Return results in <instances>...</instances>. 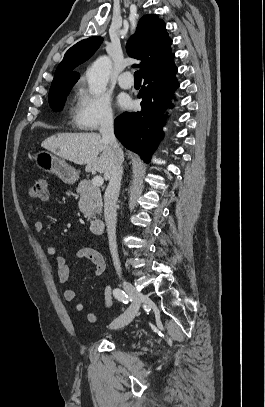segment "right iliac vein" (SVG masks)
Here are the masks:
<instances>
[{"instance_id": "obj_1", "label": "right iliac vein", "mask_w": 265, "mask_h": 407, "mask_svg": "<svg viewBox=\"0 0 265 407\" xmlns=\"http://www.w3.org/2000/svg\"><path fill=\"white\" fill-rule=\"evenodd\" d=\"M122 285L124 290L133 300V304L123 315H121L111 323L110 327L113 329L123 328L128 325L137 315L140 305L144 300L143 293L138 291L131 283L123 279Z\"/></svg>"}]
</instances>
